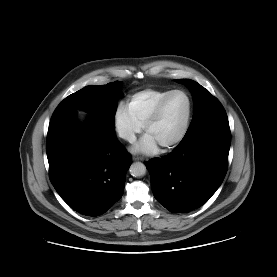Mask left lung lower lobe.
Masks as SVG:
<instances>
[{"label":"left lung lower lobe","mask_w":277,"mask_h":277,"mask_svg":"<svg viewBox=\"0 0 277 277\" xmlns=\"http://www.w3.org/2000/svg\"><path fill=\"white\" fill-rule=\"evenodd\" d=\"M231 133L227 115L187 133L168 155L146 163L156 200L170 212L205 204L221 185L228 167Z\"/></svg>","instance_id":"obj_1"}]
</instances>
